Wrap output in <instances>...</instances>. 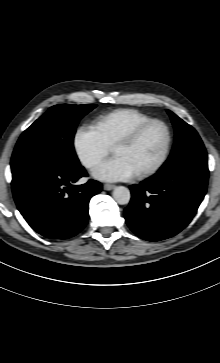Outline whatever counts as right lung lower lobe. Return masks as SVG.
Returning <instances> with one entry per match:
<instances>
[{"label": "right lung lower lobe", "instance_id": "98d812e1", "mask_svg": "<svg viewBox=\"0 0 220 363\" xmlns=\"http://www.w3.org/2000/svg\"><path fill=\"white\" fill-rule=\"evenodd\" d=\"M82 166L67 170L49 165L27 167L13 175L12 190L18 210L28 224L41 235L68 239L78 234L88 220V204L102 185L89 180Z\"/></svg>", "mask_w": 220, "mask_h": 363}]
</instances>
